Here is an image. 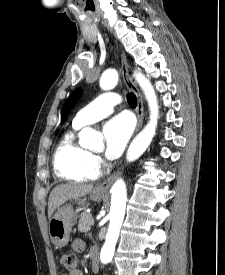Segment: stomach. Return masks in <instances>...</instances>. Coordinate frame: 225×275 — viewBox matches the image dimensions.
Returning a JSON list of instances; mask_svg holds the SVG:
<instances>
[{"mask_svg":"<svg viewBox=\"0 0 225 275\" xmlns=\"http://www.w3.org/2000/svg\"><path fill=\"white\" fill-rule=\"evenodd\" d=\"M104 191L94 189L90 198L98 200L104 195ZM78 204L84 205L86 199H75ZM77 213L74 211L72 204H66L58 208L57 212L49 220V235L52 243L57 247H64L68 244L70 233L76 222Z\"/></svg>","mask_w":225,"mask_h":275,"instance_id":"stomach-1","label":"stomach"}]
</instances>
